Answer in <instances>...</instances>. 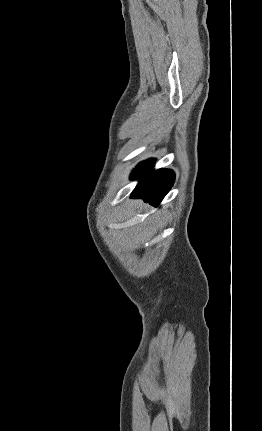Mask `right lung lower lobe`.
I'll return each instance as SVG.
<instances>
[{"mask_svg": "<svg viewBox=\"0 0 262 431\" xmlns=\"http://www.w3.org/2000/svg\"><path fill=\"white\" fill-rule=\"evenodd\" d=\"M154 160L140 163L133 171L131 179H139L131 198H142L158 206L174 182V173L167 169H153Z\"/></svg>", "mask_w": 262, "mask_h": 431, "instance_id": "1", "label": "right lung lower lobe"}]
</instances>
